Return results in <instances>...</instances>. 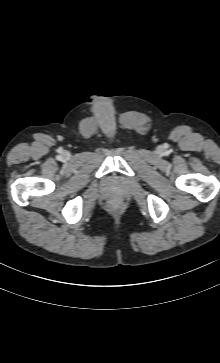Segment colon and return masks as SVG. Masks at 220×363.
<instances>
[{"label":"colon","mask_w":220,"mask_h":363,"mask_svg":"<svg viewBox=\"0 0 220 363\" xmlns=\"http://www.w3.org/2000/svg\"><path fill=\"white\" fill-rule=\"evenodd\" d=\"M110 206L113 208V209H117V208H119L120 207V202L119 201H112L111 203H110Z\"/></svg>","instance_id":"colon-1"}]
</instances>
